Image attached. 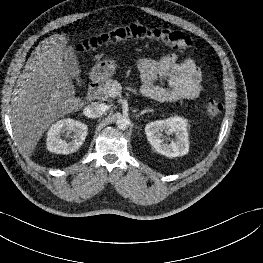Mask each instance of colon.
<instances>
[{"label":"colon","instance_id":"obj_1","mask_svg":"<svg viewBox=\"0 0 263 263\" xmlns=\"http://www.w3.org/2000/svg\"><path fill=\"white\" fill-rule=\"evenodd\" d=\"M128 38L152 39L160 41L175 50L186 51L192 45L191 39L183 32L169 28H148L139 24L118 25L82 40L77 48L80 52L94 49L98 46L121 41ZM222 111V104L210 98L204 104V112L208 119L214 120Z\"/></svg>","mask_w":263,"mask_h":263}]
</instances>
